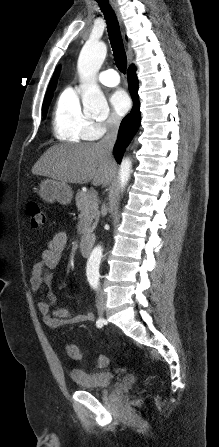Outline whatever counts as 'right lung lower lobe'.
Instances as JSON below:
<instances>
[{
	"instance_id": "1",
	"label": "right lung lower lobe",
	"mask_w": 219,
	"mask_h": 447,
	"mask_svg": "<svg viewBox=\"0 0 219 447\" xmlns=\"http://www.w3.org/2000/svg\"><path fill=\"white\" fill-rule=\"evenodd\" d=\"M128 87L130 94L132 96V100L134 102V106L126 117L122 120L119 128L118 139L114 146V156L116 161L120 163L123 153L130 143L131 139L137 132L140 124V105L138 98V81L135 75V67L132 65L128 69Z\"/></svg>"
}]
</instances>
